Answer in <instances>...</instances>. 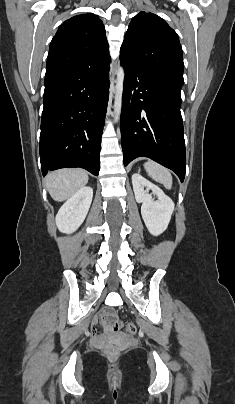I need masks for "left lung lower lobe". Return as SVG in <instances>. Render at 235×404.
I'll use <instances>...</instances> for the list:
<instances>
[{
	"label": "left lung lower lobe",
	"mask_w": 235,
	"mask_h": 404,
	"mask_svg": "<svg viewBox=\"0 0 235 404\" xmlns=\"http://www.w3.org/2000/svg\"><path fill=\"white\" fill-rule=\"evenodd\" d=\"M125 68L121 112L123 162L148 157L185 177L186 150L180 112L181 88L120 57Z\"/></svg>",
	"instance_id": "1"
}]
</instances>
